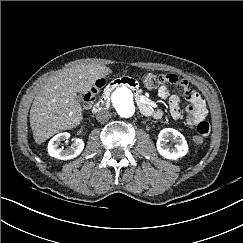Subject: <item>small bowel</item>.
Returning <instances> with one entry per match:
<instances>
[{
    "label": "small bowel",
    "mask_w": 243,
    "mask_h": 243,
    "mask_svg": "<svg viewBox=\"0 0 243 243\" xmlns=\"http://www.w3.org/2000/svg\"><path fill=\"white\" fill-rule=\"evenodd\" d=\"M166 81L158 89V96L162 99L168 100L170 114L173 119L180 120L183 113L180 109V95H183L188 102L186 108L187 119L186 122L197 129L201 136H208L210 133V125L206 121L207 107L201 95L192 89L189 83L184 79H179L177 75L168 73L164 74ZM169 85L176 87L178 94L170 91ZM162 110L154 109L153 117L161 118Z\"/></svg>",
    "instance_id": "1"
}]
</instances>
